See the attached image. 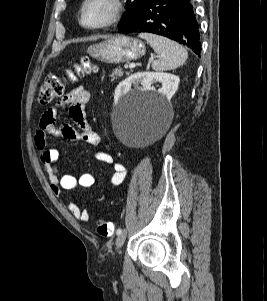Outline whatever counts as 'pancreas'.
Here are the masks:
<instances>
[{"label": "pancreas", "mask_w": 267, "mask_h": 301, "mask_svg": "<svg viewBox=\"0 0 267 301\" xmlns=\"http://www.w3.org/2000/svg\"><path fill=\"white\" fill-rule=\"evenodd\" d=\"M124 72L121 68H116L115 70H113L112 74H111V78L112 80L114 79H118L119 77L123 76Z\"/></svg>", "instance_id": "cf45deb5"}]
</instances>
